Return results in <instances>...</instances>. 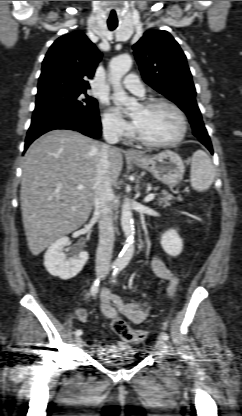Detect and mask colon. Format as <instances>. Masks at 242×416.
Wrapping results in <instances>:
<instances>
[{
  "label": "colon",
  "mask_w": 242,
  "mask_h": 416,
  "mask_svg": "<svg viewBox=\"0 0 242 416\" xmlns=\"http://www.w3.org/2000/svg\"><path fill=\"white\" fill-rule=\"evenodd\" d=\"M112 331L128 342H142L147 339V331L133 330L122 318H114L110 323Z\"/></svg>",
  "instance_id": "obj_1"
}]
</instances>
